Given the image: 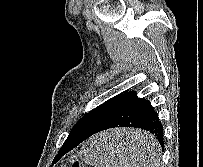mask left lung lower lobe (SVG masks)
<instances>
[{"instance_id":"left-lung-lower-lobe-1","label":"left lung lower lobe","mask_w":203,"mask_h":167,"mask_svg":"<svg viewBox=\"0 0 203 167\" xmlns=\"http://www.w3.org/2000/svg\"><path fill=\"white\" fill-rule=\"evenodd\" d=\"M115 127H134L149 131L156 136V139L164 149V131L158 115L154 112L149 101L138 98L136 92L129 91L123 94L108 116L95 130L89 134L68 137L61 147L58 157L60 158L91 135ZM115 145L114 143L112 147H115ZM134 147L138 153L145 148L139 143H136Z\"/></svg>"}]
</instances>
